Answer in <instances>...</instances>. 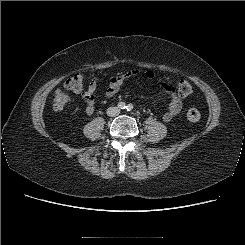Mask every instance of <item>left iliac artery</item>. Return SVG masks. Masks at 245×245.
I'll return each mask as SVG.
<instances>
[{"mask_svg":"<svg viewBox=\"0 0 245 245\" xmlns=\"http://www.w3.org/2000/svg\"><path fill=\"white\" fill-rule=\"evenodd\" d=\"M126 109H127V111H131L133 109V105L132 104H128L126 106Z\"/></svg>","mask_w":245,"mask_h":245,"instance_id":"obj_1","label":"left iliac artery"}]
</instances>
